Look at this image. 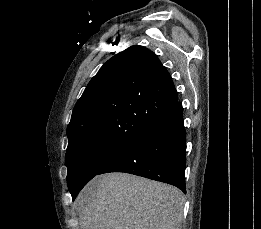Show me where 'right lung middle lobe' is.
Here are the masks:
<instances>
[{
  "label": "right lung middle lobe",
  "instance_id": "right-lung-middle-lobe-1",
  "mask_svg": "<svg viewBox=\"0 0 261 229\" xmlns=\"http://www.w3.org/2000/svg\"><path fill=\"white\" fill-rule=\"evenodd\" d=\"M130 145L82 141L68 145L67 183L73 200L80 190Z\"/></svg>",
  "mask_w": 261,
  "mask_h": 229
}]
</instances>
